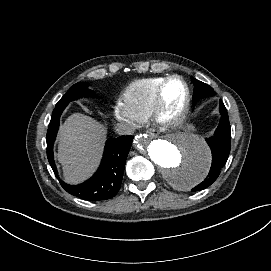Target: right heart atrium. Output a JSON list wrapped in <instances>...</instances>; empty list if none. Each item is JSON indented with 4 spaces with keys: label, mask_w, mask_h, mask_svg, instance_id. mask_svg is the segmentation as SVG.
<instances>
[{
    "label": "right heart atrium",
    "mask_w": 271,
    "mask_h": 271,
    "mask_svg": "<svg viewBox=\"0 0 271 271\" xmlns=\"http://www.w3.org/2000/svg\"><path fill=\"white\" fill-rule=\"evenodd\" d=\"M114 114L118 119L121 120H128L130 121L133 125H135V123L137 122L136 120H134L130 114L127 112V110L125 109V107L123 106V104L121 102H117L114 106Z\"/></svg>",
    "instance_id": "right-heart-atrium-1"
}]
</instances>
